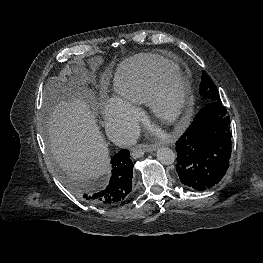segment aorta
I'll use <instances>...</instances> for the list:
<instances>
[{
  "label": "aorta",
  "mask_w": 263,
  "mask_h": 263,
  "mask_svg": "<svg viewBox=\"0 0 263 263\" xmlns=\"http://www.w3.org/2000/svg\"><path fill=\"white\" fill-rule=\"evenodd\" d=\"M158 161L164 165H171L175 162L176 155L173 150L168 147H161L156 153Z\"/></svg>",
  "instance_id": "obj_1"
}]
</instances>
